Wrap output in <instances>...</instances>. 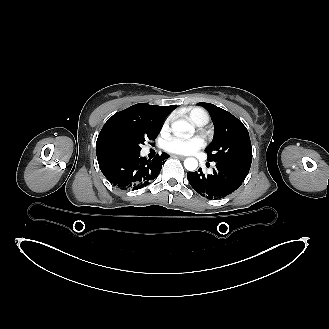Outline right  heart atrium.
<instances>
[{
    "label": "right heart atrium",
    "mask_w": 329,
    "mask_h": 329,
    "mask_svg": "<svg viewBox=\"0 0 329 329\" xmlns=\"http://www.w3.org/2000/svg\"><path fill=\"white\" fill-rule=\"evenodd\" d=\"M170 121H171L170 118H167V119L164 121V123H163V125H162V131H163V132L168 131V129H169V125H170Z\"/></svg>",
    "instance_id": "1"
}]
</instances>
